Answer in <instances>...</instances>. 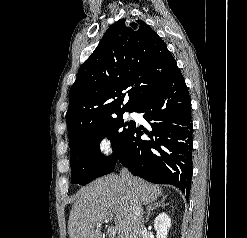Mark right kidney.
<instances>
[{
  "mask_svg": "<svg viewBox=\"0 0 247 238\" xmlns=\"http://www.w3.org/2000/svg\"><path fill=\"white\" fill-rule=\"evenodd\" d=\"M171 227V220L165 212L160 213L154 220V228L157 238H167L168 229Z\"/></svg>",
  "mask_w": 247,
  "mask_h": 238,
  "instance_id": "right-kidney-1",
  "label": "right kidney"
}]
</instances>
